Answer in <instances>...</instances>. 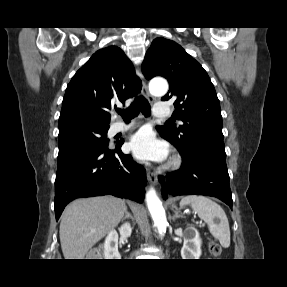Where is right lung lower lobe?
Masks as SVG:
<instances>
[{
	"mask_svg": "<svg viewBox=\"0 0 287 287\" xmlns=\"http://www.w3.org/2000/svg\"><path fill=\"white\" fill-rule=\"evenodd\" d=\"M114 147L72 145L59 150L55 180V215L76 198L106 194L142 203L147 184L145 169Z\"/></svg>",
	"mask_w": 287,
	"mask_h": 287,
	"instance_id": "1",
	"label": "right lung lower lobe"
}]
</instances>
